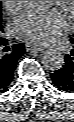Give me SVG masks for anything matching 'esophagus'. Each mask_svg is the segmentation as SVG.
<instances>
[{"label":"esophagus","instance_id":"esophagus-1","mask_svg":"<svg viewBox=\"0 0 74 122\" xmlns=\"http://www.w3.org/2000/svg\"><path fill=\"white\" fill-rule=\"evenodd\" d=\"M46 49L45 46H41V45H26V50L28 52H41L44 51Z\"/></svg>","mask_w":74,"mask_h":122}]
</instances>
